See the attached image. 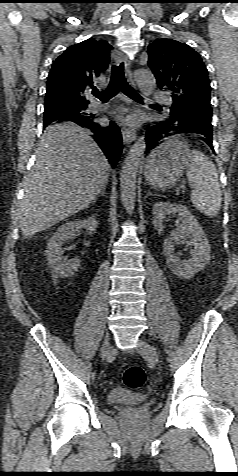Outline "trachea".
Returning a JSON list of instances; mask_svg holds the SVG:
<instances>
[{"label": "trachea", "instance_id": "trachea-1", "mask_svg": "<svg viewBox=\"0 0 238 476\" xmlns=\"http://www.w3.org/2000/svg\"><path fill=\"white\" fill-rule=\"evenodd\" d=\"M123 69V63H120L118 66L113 65L111 69L110 83L107 89L102 92H93L94 96L105 102L114 97L121 90L131 99L136 101H142L143 98L127 83Z\"/></svg>", "mask_w": 238, "mask_h": 476}]
</instances>
